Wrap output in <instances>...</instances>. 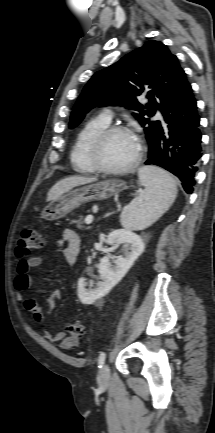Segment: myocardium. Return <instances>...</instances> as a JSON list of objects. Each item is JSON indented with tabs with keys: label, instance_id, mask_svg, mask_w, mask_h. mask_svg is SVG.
Segmentation results:
<instances>
[{
	"label": "myocardium",
	"instance_id": "1",
	"mask_svg": "<svg viewBox=\"0 0 215 433\" xmlns=\"http://www.w3.org/2000/svg\"><path fill=\"white\" fill-rule=\"evenodd\" d=\"M115 133H123L132 136L137 144L136 153L134 155V158L130 163L127 165L120 167V168H110L104 166L100 160H99V151L103 144V142L112 134ZM143 143L140 140V138L128 127L121 126V125H109L108 127L104 128L102 131H100L91 141L89 148H88V158L92 165V167L98 171L105 174H112V175H122L125 173H128L135 169L142 158L143 154Z\"/></svg>",
	"mask_w": 215,
	"mask_h": 433
}]
</instances>
